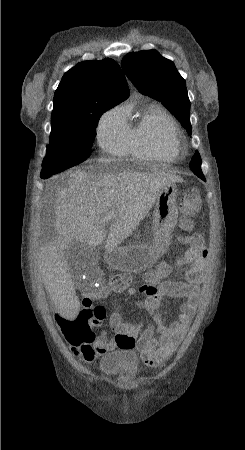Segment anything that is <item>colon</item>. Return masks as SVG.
<instances>
[{
	"mask_svg": "<svg viewBox=\"0 0 245 450\" xmlns=\"http://www.w3.org/2000/svg\"><path fill=\"white\" fill-rule=\"evenodd\" d=\"M202 205L201 195L198 189L191 188L184 191L180 200V209L183 214L181 229L184 231L185 244L195 251H206L204 237L199 233H192L190 217L196 214ZM132 282L128 272H116L107 279V285L111 289H121ZM106 312L102 306L90 299L84 298L80 312L62 321L61 329L64 335L75 344L89 343L95 339V326L102 323ZM138 331L130 334H119V339L124 346H132L137 338Z\"/></svg>",
	"mask_w": 245,
	"mask_h": 450,
	"instance_id": "5ec220e1",
	"label": "colon"
}]
</instances>
